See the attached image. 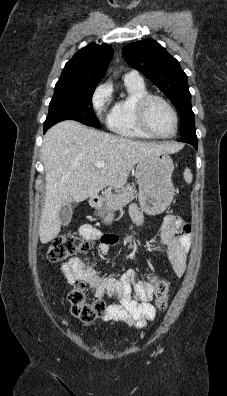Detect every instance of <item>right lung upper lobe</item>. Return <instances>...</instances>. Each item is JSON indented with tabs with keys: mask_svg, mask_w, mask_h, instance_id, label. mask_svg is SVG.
Wrapping results in <instances>:
<instances>
[{
	"mask_svg": "<svg viewBox=\"0 0 227 396\" xmlns=\"http://www.w3.org/2000/svg\"><path fill=\"white\" fill-rule=\"evenodd\" d=\"M113 56L106 44H90L80 49L65 65L60 79L81 82H100Z\"/></svg>",
	"mask_w": 227,
	"mask_h": 396,
	"instance_id": "cb5924a9",
	"label": "right lung upper lobe"
}]
</instances>
